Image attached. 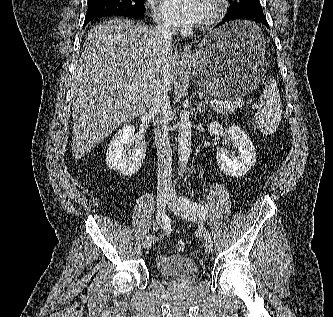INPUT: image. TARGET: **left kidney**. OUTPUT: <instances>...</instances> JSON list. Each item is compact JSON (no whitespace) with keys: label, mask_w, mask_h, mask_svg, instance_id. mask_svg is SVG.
Segmentation results:
<instances>
[{"label":"left kidney","mask_w":333,"mask_h":317,"mask_svg":"<svg viewBox=\"0 0 333 317\" xmlns=\"http://www.w3.org/2000/svg\"><path fill=\"white\" fill-rule=\"evenodd\" d=\"M223 126L214 121L208 125V131L211 134L219 135L223 132ZM229 137L233 140L239 150V155L228 156L226 151L221 148L217 150L216 160L221 171L231 177H241L245 175L256 162L255 147L239 126H231L228 129Z\"/></svg>","instance_id":"1"}]
</instances>
